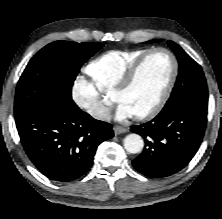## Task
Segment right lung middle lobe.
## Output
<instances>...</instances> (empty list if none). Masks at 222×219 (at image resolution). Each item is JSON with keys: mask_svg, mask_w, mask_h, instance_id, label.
<instances>
[{"mask_svg": "<svg viewBox=\"0 0 222 219\" xmlns=\"http://www.w3.org/2000/svg\"><path fill=\"white\" fill-rule=\"evenodd\" d=\"M104 44L55 41L28 63L15 95V115H21L55 95L71 96L80 67Z\"/></svg>", "mask_w": 222, "mask_h": 219, "instance_id": "right-lung-middle-lobe-1", "label": "right lung middle lobe"}]
</instances>
